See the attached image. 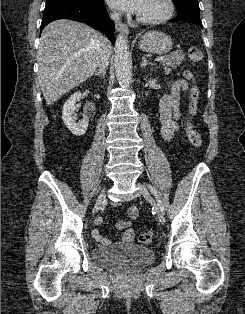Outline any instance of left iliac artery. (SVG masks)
<instances>
[{"instance_id":"left-iliac-artery-1","label":"left iliac artery","mask_w":245,"mask_h":314,"mask_svg":"<svg viewBox=\"0 0 245 314\" xmlns=\"http://www.w3.org/2000/svg\"><path fill=\"white\" fill-rule=\"evenodd\" d=\"M147 187L151 191V193L155 196V198L157 199L158 206L160 207L161 211L164 213V206L162 205L161 201L159 200L156 189L152 185H149V184H147Z\"/></svg>"}]
</instances>
